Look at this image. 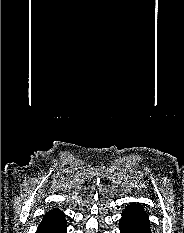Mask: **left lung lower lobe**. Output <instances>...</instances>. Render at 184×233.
<instances>
[{
  "label": "left lung lower lobe",
  "mask_w": 184,
  "mask_h": 233,
  "mask_svg": "<svg viewBox=\"0 0 184 233\" xmlns=\"http://www.w3.org/2000/svg\"><path fill=\"white\" fill-rule=\"evenodd\" d=\"M120 233H151L148 214L140 204H129L122 212Z\"/></svg>",
  "instance_id": "obj_1"
}]
</instances>
